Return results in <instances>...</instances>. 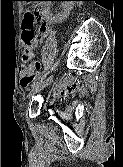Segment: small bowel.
I'll return each instance as SVG.
<instances>
[{
	"label": "small bowel",
	"mask_w": 123,
	"mask_h": 167,
	"mask_svg": "<svg viewBox=\"0 0 123 167\" xmlns=\"http://www.w3.org/2000/svg\"><path fill=\"white\" fill-rule=\"evenodd\" d=\"M50 34V30L46 28L43 37H47ZM40 68V65L31 64L26 67H23L20 70V85L23 90H28L30 84L37 77V72ZM78 92L80 95H84L86 93L83 86L72 82L69 78H63L55 87L54 92L56 94H67L71 92Z\"/></svg>",
	"instance_id": "obj_1"
}]
</instances>
